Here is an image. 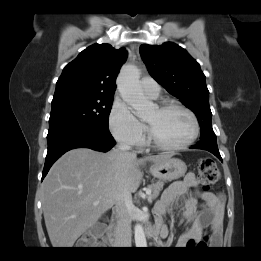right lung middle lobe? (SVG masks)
<instances>
[{
    "label": "right lung middle lobe",
    "mask_w": 261,
    "mask_h": 261,
    "mask_svg": "<svg viewBox=\"0 0 261 261\" xmlns=\"http://www.w3.org/2000/svg\"><path fill=\"white\" fill-rule=\"evenodd\" d=\"M113 96L74 93L54 94L49 129L70 124L108 128Z\"/></svg>",
    "instance_id": "obj_1"
}]
</instances>
